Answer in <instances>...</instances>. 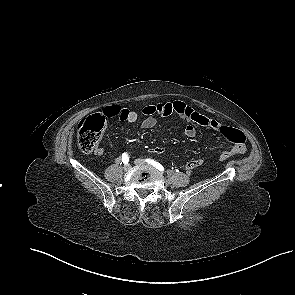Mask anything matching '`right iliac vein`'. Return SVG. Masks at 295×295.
Here are the masks:
<instances>
[{"label":"right iliac vein","instance_id":"right-iliac-vein-1","mask_svg":"<svg viewBox=\"0 0 295 295\" xmlns=\"http://www.w3.org/2000/svg\"><path fill=\"white\" fill-rule=\"evenodd\" d=\"M124 171H129L131 169V166L129 164H126L124 167Z\"/></svg>","mask_w":295,"mask_h":295}]
</instances>
